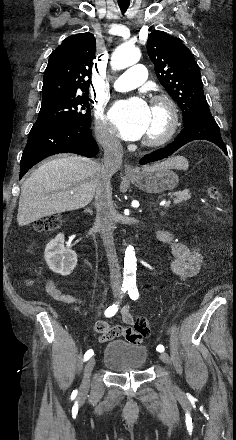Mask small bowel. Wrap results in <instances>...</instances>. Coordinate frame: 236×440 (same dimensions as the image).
<instances>
[{"label":"small bowel","instance_id":"obj_1","mask_svg":"<svg viewBox=\"0 0 236 440\" xmlns=\"http://www.w3.org/2000/svg\"><path fill=\"white\" fill-rule=\"evenodd\" d=\"M157 237L164 243H167L173 255L171 264L172 272L181 280H187L200 274L206 268V262L202 254L187 245L176 242L172 235L165 231H158ZM47 293L55 300L72 305L78 309L82 305V300L63 293L52 279L46 282ZM122 320L125 324H108L105 321H97L95 329L100 334L101 341H107L114 337H122L124 340L138 339L140 333L134 330V317L130 306L125 305L121 310ZM140 340L135 343H139Z\"/></svg>","mask_w":236,"mask_h":440}]
</instances>
